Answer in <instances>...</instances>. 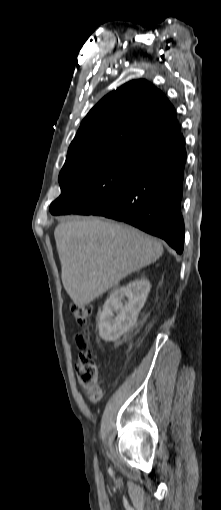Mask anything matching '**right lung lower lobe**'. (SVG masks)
I'll use <instances>...</instances> for the list:
<instances>
[{"instance_id": "obj_1", "label": "right lung lower lobe", "mask_w": 221, "mask_h": 510, "mask_svg": "<svg viewBox=\"0 0 221 510\" xmlns=\"http://www.w3.org/2000/svg\"><path fill=\"white\" fill-rule=\"evenodd\" d=\"M185 161V139L179 136L153 148L116 199L102 207L77 208L72 213L126 222L162 238L182 253L184 222L180 207Z\"/></svg>"}]
</instances>
